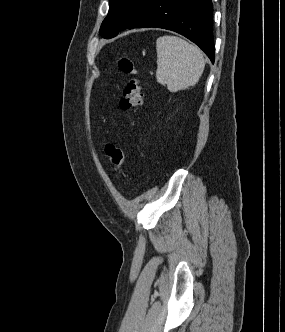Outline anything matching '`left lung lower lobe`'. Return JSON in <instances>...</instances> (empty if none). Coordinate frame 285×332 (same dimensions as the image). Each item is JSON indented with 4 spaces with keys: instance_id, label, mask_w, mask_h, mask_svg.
I'll return each instance as SVG.
<instances>
[{
    "instance_id": "1",
    "label": "left lung lower lobe",
    "mask_w": 285,
    "mask_h": 332,
    "mask_svg": "<svg viewBox=\"0 0 285 332\" xmlns=\"http://www.w3.org/2000/svg\"><path fill=\"white\" fill-rule=\"evenodd\" d=\"M212 8L211 0H153L126 29L175 31L197 44L214 63Z\"/></svg>"
}]
</instances>
